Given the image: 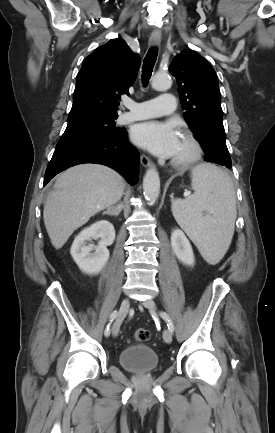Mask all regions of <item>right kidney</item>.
Listing matches in <instances>:
<instances>
[{
  "mask_svg": "<svg viewBox=\"0 0 275 433\" xmlns=\"http://www.w3.org/2000/svg\"><path fill=\"white\" fill-rule=\"evenodd\" d=\"M99 238L97 246L87 241ZM115 240L114 226L107 220H101L82 230L71 246V256L78 267L87 274H98L109 258L108 246ZM95 252L91 253V251Z\"/></svg>",
  "mask_w": 275,
  "mask_h": 433,
  "instance_id": "1",
  "label": "right kidney"
}]
</instances>
